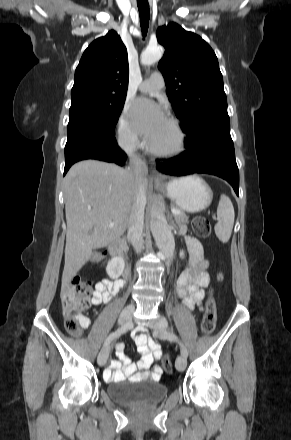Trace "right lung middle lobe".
Wrapping results in <instances>:
<instances>
[{"label":"right lung middle lobe","mask_w":291,"mask_h":440,"mask_svg":"<svg viewBox=\"0 0 291 440\" xmlns=\"http://www.w3.org/2000/svg\"><path fill=\"white\" fill-rule=\"evenodd\" d=\"M125 97L88 98L72 102L67 133L86 132L114 136Z\"/></svg>","instance_id":"1"}]
</instances>
